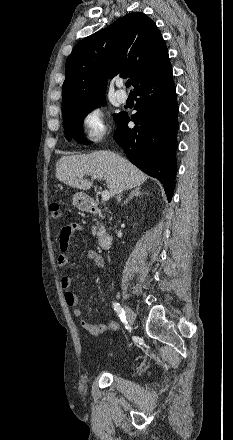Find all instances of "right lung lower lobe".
<instances>
[{"mask_svg":"<svg viewBox=\"0 0 233 440\" xmlns=\"http://www.w3.org/2000/svg\"><path fill=\"white\" fill-rule=\"evenodd\" d=\"M137 112L131 120L124 113L114 134L115 141L124 149L128 159L146 174L159 179L171 200L177 164L176 134L178 104L171 65L155 78L133 91Z\"/></svg>","mask_w":233,"mask_h":440,"instance_id":"1","label":"right lung lower lobe"}]
</instances>
